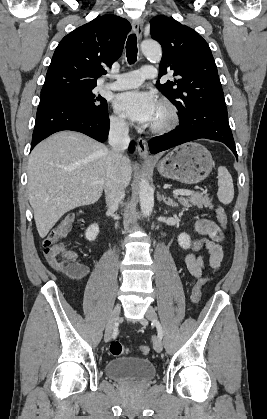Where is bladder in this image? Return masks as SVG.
I'll use <instances>...</instances> for the list:
<instances>
[{
  "label": "bladder",
  "mask_w": 267,
  "mask_h": 419,
  "mask_svg": "<svg viewBox=\"0 0 267 419\" xmlns=\"http://www.w3.org/2000/svg\"><path fill=\"white\" fill-rule=\"evenodd\" d=\"M105 374L118 381L146 382L153 379L156 369L153 363L140 357H120L109 360Z\"/></svg>",
  "instance_id": "31cf9c89"
}]
</instances>
